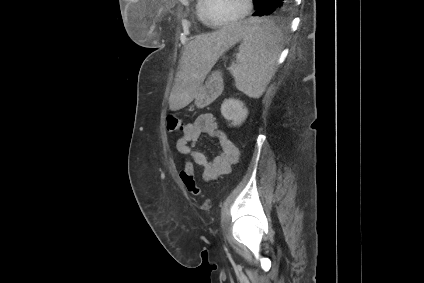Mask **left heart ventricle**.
I'll return each mask as SVG.
<instances>
[{
  "label": "left heart ventricle",
  "mask_w": 424,
  "mask_h": 283,
  "mask_svg": "<svg viewBox=\"0 0 424 283\" xmlns=\"http://www.w3.org/2000/svg\"><path fill=\"white\" fill-rule=\"evenodd\" d=\"M245 9V0H211L209 17L214 23H222L239 16Z\"/></svg>",
  "instance_id": "left-heart-ventricle-1"
}]
</instances>
